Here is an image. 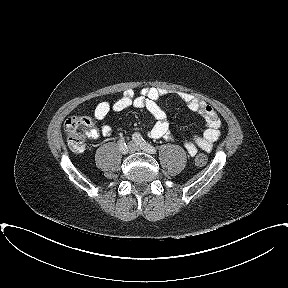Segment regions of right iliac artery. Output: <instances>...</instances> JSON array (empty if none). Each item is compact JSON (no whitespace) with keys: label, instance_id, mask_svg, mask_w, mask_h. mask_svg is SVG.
Here are the masks:
<instances>
[{"label":"right iliac artery","instance_id":"obj_1","mask_svg":"<svg viewBox=\"0 0 288 288\" xmlns=\"http://www.w3.org/2000/svg\"><path fill=\"white\" fill-rule=\"evenodd\" d=\"M118 144H119V147H120V150L122 151V153L124 155H127L129 153V150L126 148V143L124 142V138L119 140Z\"/></svg>","mask_w":288,"mask_h":288}]
</instances>
